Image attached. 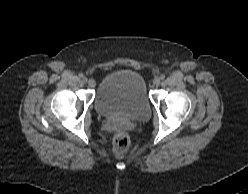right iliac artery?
Masks as SVG:
<instances>
[{
    "instance_id": "right-iliac-artery-1",
    "label": "right iliac artery",
    "mask_w": 248,
    "mask_h": 194,
    "mask_svg": "<svg viewBox=\"0 0 248 194\" xmlns=\"http://www.w3.org/2000/svg\"><path fill=\"white\" fill-rule=\"evenodd\" d=\"M80 78H83V74L82 73H79V75H78Z\"/></svg>"
}]
</instances>
